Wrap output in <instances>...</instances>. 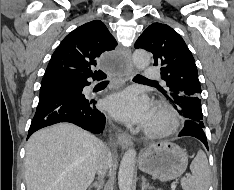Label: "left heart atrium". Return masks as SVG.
I'll return each instance as SVG.
<instances>
[{
    "instance_id": "39dd6f15",
    "label": "left heart atrium",
    "mask_w": 234,
    "mask_h": 190,
    "mask_svg": "<svg viewBox=\"0 0 234 190\" xmlns=\"http://www.w3.org/2000/svg\"><path fill=\"white\" fill-rule=\"evenodd\" d=\"M105 106L113 117L130 125H148L153 116L148 99L132 89L108 97Z\"/></svg>"
}]
</instances>
